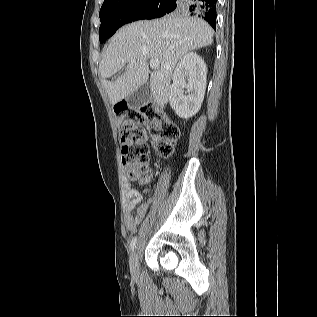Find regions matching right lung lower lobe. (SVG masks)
<instances>
[{
	"label": "right lung lower lobe",
	"instance_id": "right-lung-lower-lobe-1",
	"mask_svg": "<svg viewBox=\"0 0 317 317\" xmlns=\"http://www.w3.org/2000/svg\"><path fill=\"white\" fill-rule=\"evenodd\" d=\"M177 0H167L163 5H159L147 14L146 19L159 18L172 6ZM184 10L191 13V15H198L206 20L214 29L216 28V3L217 0H185ZM168 14V12L166 13Z\"/></svg>",
	"mask_w": 317,
	"mask_h": 317
}]
</instances>
